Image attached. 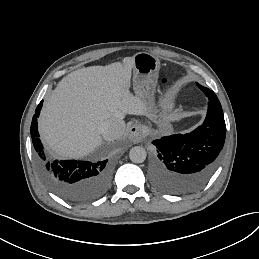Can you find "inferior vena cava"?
Instances as JSON below:
<instances>
[{
    "label": "inferior vena cava",
    "instance_id": "602c4592",
    "mask_svg": "<svg viewBox=\"0 0 259 259\" xmlns=\"http://www.w3.org/2000/svg\"><path fill=\"white\" fill-rule=\"evenodd\" d=\"M123 116L122 113H119ZM125 122L120 117H112L99 126L100 134L107 140H116L123 136Z\"/></svg>",
    "mask_w": 259,
    "mask_h": 259
}]
</instances>
